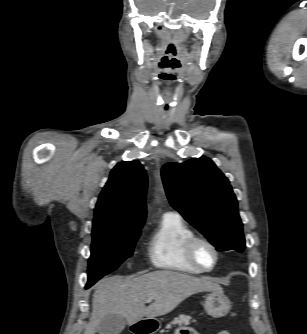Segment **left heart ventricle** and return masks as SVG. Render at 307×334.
<instances>
[{
	"label": "left heart ventricle",
	"mask_w": 307,
	"mask_h": 334,
	"mask_svg": "<svg viewBox=\"0 0 307 334\" xmlns=\"http://www.w3.org/2000/svg\"><path fill=\"white\" fill-rule=\"evenodd\" d=\"M196 257L198 261L203 265L204 267H211L214 263V254L212 250L204 245V244H198L196 246Z\"/></svg>",
	"instance_id": "1"
}]
</instances>
